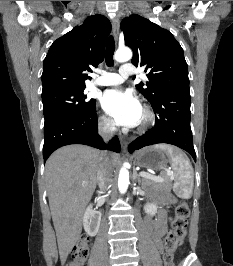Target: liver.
Masks as SVG:
<instances>
[{"mask_svg": "<svg viewBox=\"0 0 233 266\" xmlns=\"http://www.w3.org/2000/svg\"><path fill=\"white\" fill-rule=\"evenodd\" d=\"M106 159L112 172L118 155L111 153ZM100 162L98 150L79 144L59 148L46 162L49 206L62 264L80 238L83 213L96 188Z\"/></svg>", "mask_w": 233, "mask_h": 266, "instance_id": "liver-1", "label": "liver"}]
</instances>
